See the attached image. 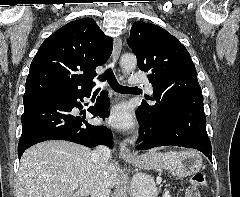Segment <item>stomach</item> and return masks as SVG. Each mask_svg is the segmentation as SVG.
<instances>
[{
	"label": "stomach",
	"instance_id": "stomach-1",
	"mask_svg": "<svg viewBox=\"0 0 240 197\" xmlns=\"http://www.w3.org/2000/svg\"><path fill=\"white\" fill-rule=\"evenodd\" d=\"M130 164L139 169H152L164 167L177 177L191 176L202 168V158L193 150L181 152H170L166 154L151 151L129 161Z\"/></svg>",
	"mask_w": 240,
	"mask_h": 197
}]
</instances>
